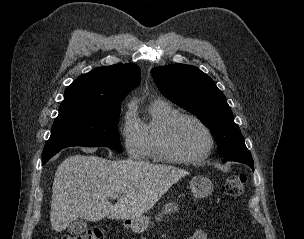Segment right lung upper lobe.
<instances>
[{
	"mask_svg": "<svg viewBox=\"0 0 304 239\" xmlns=\"http://www.w3.org/2000/svg\"><path fill=\"white\" fill-rule=\"evenodd\" d=\"M139 82L140 69L132 63L96 68L66 88L59 112L120 106Z\"/></svg>",
	"mask_w": 304,
	"mask_h": 239,
	"instance_id": "right-lung-upper-lobe-1",
	"label": "right lung upper lobe"
}]
</instances>
